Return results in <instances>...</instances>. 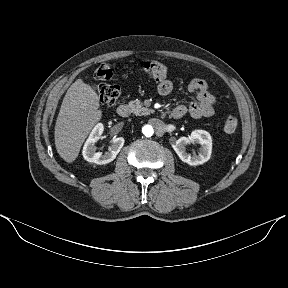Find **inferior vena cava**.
Here are the masks:
<instances>
[{"instance_id":"inferior-vena-cava-1","label":"inferior vena cava","mask_w":288,"mask_h":288,"mask_svg":"<svg viewBox=\"0 0 288 288\" xmlns=\"http://www.w3.org/2000/svg\"><path fill=\"white\" fill-rule=\"evenodd\" d=\"M152 125L155 128L154 135L156 137H161L165 133L166 125L159 118H154Z\"/></svg>"}]
</instances>
